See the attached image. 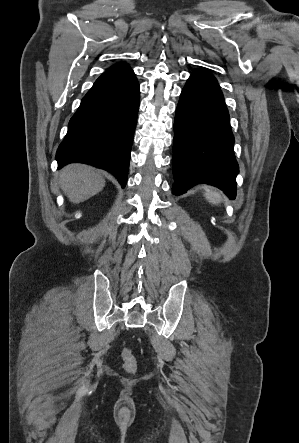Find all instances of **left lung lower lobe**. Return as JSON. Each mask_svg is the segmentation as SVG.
<instances>
[{
    "label": "left lung lower lobe",
    "mask_w": 299,
    "mask_h": 443,
    "mask_svg": "<svg viewBox=\"0 0 299 443\" xmlns=\"http://www.w3.org/2000/svg\"><path fill=\"white\" fill-rule=\"evenodd\" d=\"M229 113L216 78L197 70L182 90L173 141V194L206 183L236 196L239 167L233 152Z\"/></svg>",
    "instance_id": "0a47b994"
}]
</instances>
